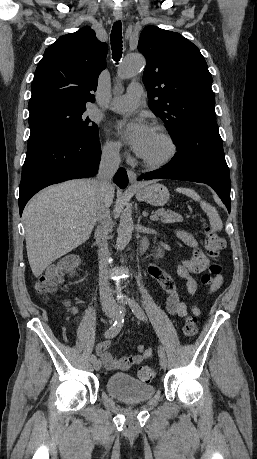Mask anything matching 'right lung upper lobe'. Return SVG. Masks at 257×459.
<instances>
[{"label":"right lung upper lobe","mask_w":257,"mask_h":459,"mask_svg":"<svg viewBox=\"0 0 257 459\" xmlns=\"http://www.w3.org/2000/svg\"><path fill=\"white\" fill-rule=\"evenodd\" d=\"M108 47L90 27L61 36L46 49L31 86L29 110L49 106L86 107L94 102Z\"/></svg>","instance_id":"obj_1"}]
</instances>
